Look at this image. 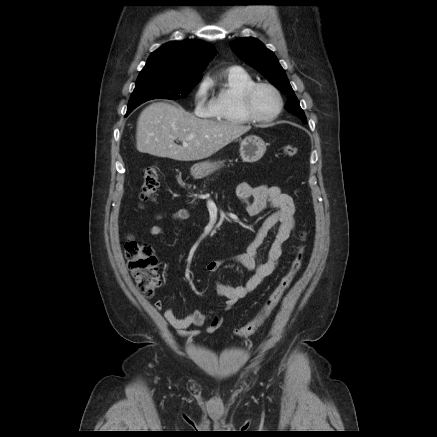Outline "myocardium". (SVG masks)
Listing matches in <instances>:
<instances>
[{
    "instance_id": "obj_1",
    "label": "myocardium",
    "mask_w": 437,
    "mask_h": 437,
    "mask_svg": "<svg viewBox=\"0 0 437 437\" xmlns=\"http://www.w3.org/2000/svg\"><path fill=\"white\" fill-rule=\"evenodd\" d=\"M262 87H266V88L270 89L275 94L277 101H278V108H277L276 112L269 117L259 116L258 114H256V112L254 111V108H253L254 94L259 88H262ZM242 107H243L244 113L251 121L260 122V123H267V122H271L279 117V115L281 114V112L283 110L284 102H283V97H282L279 89L275 85H273L269 82H254L253 84L248 86L245 89V91L243 92Z\"/></svg>"
}]
</instances>
